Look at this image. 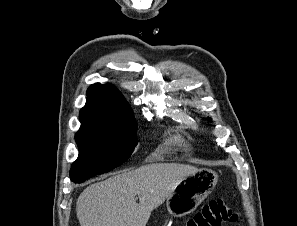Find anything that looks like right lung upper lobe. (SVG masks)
Returning a JSON list of instances; mask_svg holds the SVG:
<instances>
[{
	"mask_svg": "<svg viewBox=\"0 0 297 226\" xmlns=\"http://www.w3.org/2000/svg\"><path fill=\"white\" fill-rule=\"evenodd\" d=\"M86 105L80 111L84 126H116L120 116L130 110L121 93L111 84H94L87 90Z\"/></svg>",
	"mask_w": 297,
	"mask_h": 226,
	"instance_id": "1",
	"label": "right lung upper lobe"
}]
</instances>
